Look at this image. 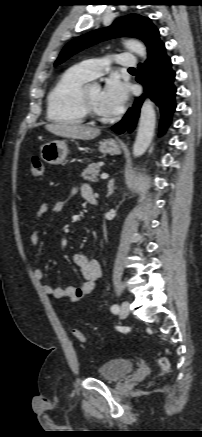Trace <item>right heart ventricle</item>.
<instances>
[{
	"mask_svg": "<svg viewBox=\"0 0 202 437\" xmlns=\"http://www.w3.org/2000/svg\"><path fill=\"white\" fill-rule=\"evenodd\" d=\"M90 79L77 67L65 71L47 97V116L53 122L81 124L86 117L80 106V92Z\"/></svg>",
	"mask_w": 202,
	"mask_h": 437,
	"instance_id": "e07e8e85",
	"label": "right heart ventricle"
}]
</instances>
